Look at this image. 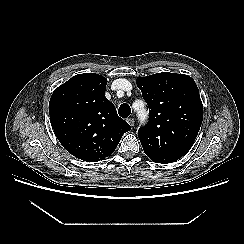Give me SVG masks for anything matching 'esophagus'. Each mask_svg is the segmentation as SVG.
<instances>
[{"instance_id": "esophagus-1", "label": "esophagus", "mask_w": 244, "mask_h": 244, "mask_svg": "<svg viewBox=\"0 0 244 244\" xmlns=\"http://www.w3.org/2000/svg\"><path fill=\"white\" fill-rule=\"evenodd\" d=\"M126 121L130 126H134L135 120L133 118H127Z\"/></svg>"}]
</instances>
